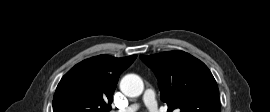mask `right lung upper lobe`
Masks as SVG:
<instances>
[{
    "instance_id": "1",
    "label": "right lung upper lobe",
    "mask_w": 270,
    "mask_h": 112,
    "mask_svg": "<svg viewBox=\"0 0 270 112\" xmlns=\"http://www.w3.org/2000/svg\"><path fill=\"white\" fill-rule=\"evenodd\" d=\"M136 57L99 55L78 63L59 82L53 112L110 111L118 78Z\"/></svg>"
}]
</instances>
